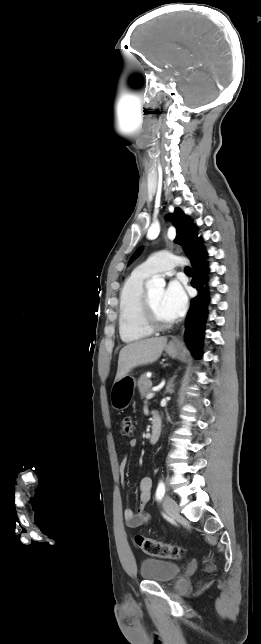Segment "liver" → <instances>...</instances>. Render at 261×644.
Returning <instances> with one entry per match:
<instances>
[{
	"instance_id": "1",
	"label": "liver",
	"mask_w": 261,
	"mask_h": 644,
	"mask_svg": "<svg viewBox=\"0 0 261 644\" xmlns=\"http://www.w3.org/2000/svg\"><path fill=\"white\" fill-rule=\"evenodd\" d=\"M166 344L167 337H159L139 340L124 346L119 353L115 382L126 376L131 369L157 361Z\"/></svg>"
}]
</instances>
